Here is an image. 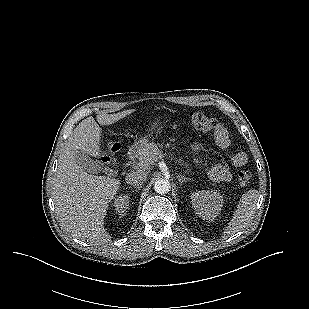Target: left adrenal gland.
<instances>
[{
	"label": "left adrenal gland",
	"mask_w": 309,
	"mask_h": 309,
	"mask_svg": "<svg viewBox=\"0 0 309 309\" xmlns=\"http://www.w3.org/2000/svg\"><path fill=\"white\" fill-rule=\"evenodd\" d=\"M177 178H178V181H179L180 185H182L183 183H185V182L190 180V178H185V177H183L181 175H178Z\"/></svg>",
	"instance_id": "a2214340"
}]
</instances>
